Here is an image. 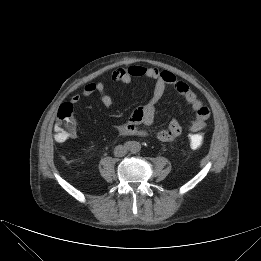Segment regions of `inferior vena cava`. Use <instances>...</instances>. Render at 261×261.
Masks as SVG:
<instances>
[{"label":"inferior vena cava","mask_w":261,"mask_h":261,"mask_svg":"<svg viewBox=\"0 0 261 261\" xmlns=\"http://www.w3.org/2000/svg\"><path fill=\"white\" fill-rule=\"evenodd\" d=\"M126 153H127V148L123 145H118L114 149V155L116 157H123L126 155Z\"/></svg>","instance_id":"inferior-vena-cava-1"}]
</instances>
